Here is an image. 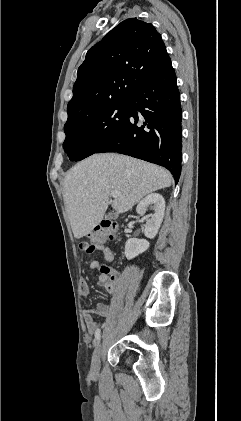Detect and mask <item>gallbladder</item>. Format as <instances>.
<instances>
[{
  "label": "gallbladder",
  "mask_w": 241,
  "mask_h": 421,
  "mask_svg": "<svg viewBox=\"0 0 241 421\" xmlns=\"http://www.w3.org/2000/svg\"><path fill=\"white\" fill-rule=\"evenodd\" d=\"M115 216H116L115 213L110 212V213L107 214L106 217L109 218V219H113V218H115Z\"/></svg>",
  "instance_id": "bac80fb5"
}]
</instances>
